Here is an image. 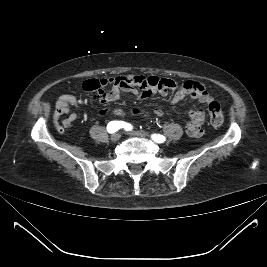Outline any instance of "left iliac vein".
<instances>
[{
  "label": "left iliac vein",
  "mask_w": 267,
  "mask_h": 267,
  "mask_svg": "<svg viewBox=\"0 0 267 267\" xmlns=\"http://www.w3.org/2000/svg\"><path fill=\"white\" fill-rule=\"evenodd\" d=\"M129 135L135 136V137H149V134L144 131H132L129 133Z\"/></svg>",
  "instance_id": "left-iliac-vein-1"
}]
</instances>
